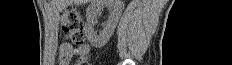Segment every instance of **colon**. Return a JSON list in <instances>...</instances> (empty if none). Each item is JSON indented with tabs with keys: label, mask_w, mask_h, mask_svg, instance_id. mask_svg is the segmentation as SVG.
<instances>
[{
	"label": "colon",
	"mask_w": 232,
	"mask_h": 65,
	"mask_svg": "<svg viewBox=\"0 0 232 65\" xmlns=\"http://www.w3.org/2000/svg\"><path fill=\"white\" fill-rule=\"evenodd\" d=\"M61 25L67 39L75 46L80 47L84 41L83 19L81 14L75 9H67L62 16ZM78 65H87V58L81 54Z\"/></svg>",
	"instance_id": "colon-1"
}]
</instances>
